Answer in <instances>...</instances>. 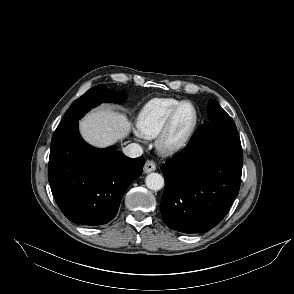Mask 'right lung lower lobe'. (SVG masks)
I'll return each mask as SVG.
<instances>
[{"label":"right lung lower lobe","instance_id":"98d812e1","mask_svg":"<svg viewBox=\"0 0 294 294\" xmlns=\"http://www.w3.org/2000/svg\"><path fill=\"white\" fill-rule=\"evenodd\" d=\"M87 93L96 104L118 97L102 84ZM114 148L87 144L79 134L78 121L55 130L48 180L58 207L73 223L97 226L111 221L126 189L141 175L144 158L131 159Z\"/></svg>","mask_w":294,"mask_h":294}]
</instances>
